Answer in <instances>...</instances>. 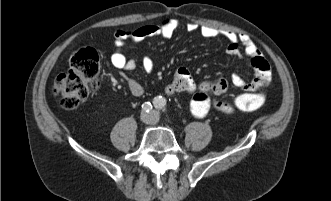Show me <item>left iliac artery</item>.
<instances>
[{
	"label": "left iliac artery",
	"instance_id": "obj_1",
	"mask_svg": "<svg viewBox=\"0 0 331 201\" xmlns=\"http://www.w3.org/2000/svg\"><path fill=\"white\" fill-rule=\"evenodd\" d=\"M154 105H155V107L157 109L164 110L165 109V106H166V100H165V98H163L161 96L155 98Z\"/></svg>",
	"mask_w": 331,
	"mask_h": 201
}]
</instances>
